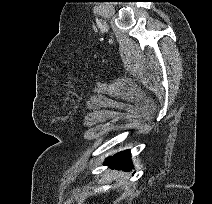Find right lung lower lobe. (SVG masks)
<instances>
[{
  "label": "right lung lower lobe",
  "mask_w": 212,
  "mask_h": 204,
  "mask_svg": "<svg viewBox=\"0 0 212 204\" xmlns=\"http://www.w3.org/2000/svg\"><path fill=\"white\" fill-rule=\"evenodd\" d=\"M106 164L110 165L111 168L129 171V166H132L130 162V151L126 150L113 155L108 158Z\"/></svg>",
  "instance_id": "right-lung-lower-lobe-1"
}]
</instances>
